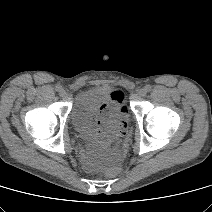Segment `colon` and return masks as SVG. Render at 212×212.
I'll return each mask as SVG.
<instances>
[{"label": "colon", "mask_w": 212, "mask_h": 212, "mask_svg": "<svg viewBox=\"0 0 212 212\" xmlns=\"http://www.w3.org/2000/svg\"><path fill=\"white\" fill-rule=\"evenodd\" d=\"M118 174H119V168L118 167L115 166V167H113V168L110 169V175L111 176L115 177Z\"/></svg>", "instance_id": "colon-1"}]
</instances>
